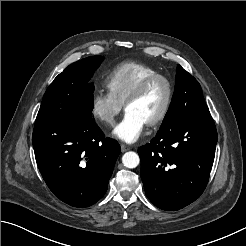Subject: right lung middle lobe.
I'll return each instance as SVG.
<instances>
[{"label": "right lung middle lobe", "instance_id": "right-lung-middle-lobe-1", "mask_svg": "<svg viewBox=\"0 0 246 246\" xmlns=\"http://www.w3.org/2000/svg\"><path fill=\"white\" fill-rule=\"evenodd\" d=\"M102 56H91L69 65L47 88L36 121H92L94 85L90 83Z\"/></svg>", "mask_w": 246, "mask_h": 246}]
</instances>
